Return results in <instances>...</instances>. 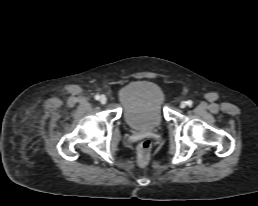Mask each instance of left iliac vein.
I'll return each instance as SVG.
<instances>
[{"label":"left iliac vein","mask_w":258,"mask_h":206,"mask_svg":"<svg viewBox=\"0 0 258 206\" xmlns=\"http://www.w3.org/2000/svg\"><path fill=\"white\" fill-rule=\"evenodd\" d=\"M187 106V103L185 102V101H182L181 103H180V107L181 108H185Z\"/></svg>","instance_id":"4c4485c4"}]
</instances>
